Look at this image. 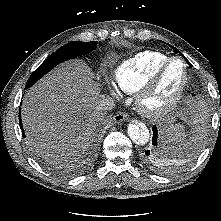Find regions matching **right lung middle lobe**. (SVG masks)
<instances>
[{"mask_svg":"<svg viewBox=\"0 0 221 221\" xmlns=\"http://www.w3.org/2000/svg\"><path fill=\"white\" fill-rule=\"evenodd\" d=\"M97 46V42L72 41L60 47L56 52L51 54L30 76L25 88L31 87L43 75L49 72L53 67L67 59L74 58L91 52Z\"/></svg>","mask_w":221,"mask_h":221,"instance_id":"obj_1","label":"right lung middle lobe"}]
</instances>
